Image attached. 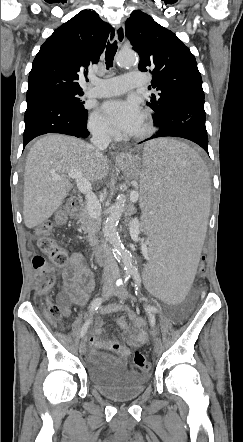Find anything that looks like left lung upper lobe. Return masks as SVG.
Instances as JSON below:
<instances>
[{
    "instance_id": "obj_1",
    "label": "left lung upper lobe",
    "mask_w": 243,
    "mask_h": 442,
    "mask_svg": "<svg viewBox=\"0 0 243 442\" xmlns=\"http://www.w3.org/2000/svg\"><path fill=\"white\" fill-rule=\"evenodd\" d=\"M126 35L140 56L139 70L149 71L152 87L160 91L146 102L155 112L154 120L164 114L177 94L188 90L203 91L194 55L173 32L137 10L126 21Z\"/></svg>"
}]
</instances>
